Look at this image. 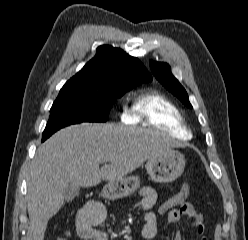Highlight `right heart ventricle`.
<instances>
[{
  "label": "right heart ventricle",
  "mask_w": 248,
  "mask_h": 240,
  "mask_svg": "<svg viewBox=\"0 0 248 240\" xmlns=\"http://www.w3.org/2000/svg\"><path fill=\"white\" fill-rule=\"evenodd\" d=\"M128 120L163 130L176 139L187 140L192 136L178 107L156 92L142 93L134 98Z\"/></svg>",
  "instance_id": "obj_1"
}]
</instances>
